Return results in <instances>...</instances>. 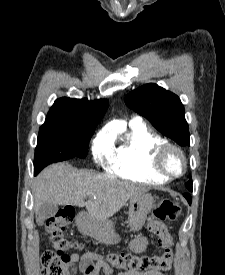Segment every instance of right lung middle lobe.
Wrapping results in <instances>:
<instances>
[{
	"mask_svg": "<svg viewBox=\"0 0 225 275\" xmlns=\"http://www.w3.org/2000/svg\"><path fill=\"white\" fill-rule=\"evenodd\" d=\"M96 126L67 121H45L40 127L35 150V175L50 163L73 157L85 158Z\"/></svg>",
	"mask_w": 225,
	"mask_h": 275,
	"instance_id": "right-lung-middle-lobe-1",
	"label": "right lung middle lobe"
}]
</instances>
